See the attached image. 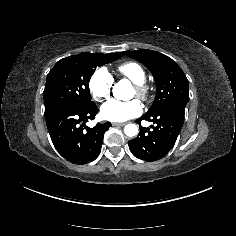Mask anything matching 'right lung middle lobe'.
<instances>
[{"instance_id":"obj_1","label":"right lung middle lobe","mask_w":236,"mask_h":236,"mask_svg":"<svg viewBox=\"0 0 236 236\" xmlns=\"http://www.w3.org/2000/svg\"><path fill=\"white\" fill-rule=\"evenodd\" d=\"M123 54L81 53L59 60L47 75L43 92L45 111L59 106L81 109L94 104L89 81L96 67L113 62Z\"/></svg>"}]
</instances>
